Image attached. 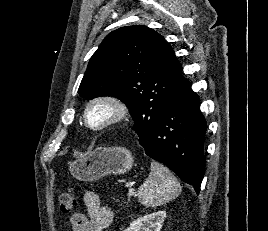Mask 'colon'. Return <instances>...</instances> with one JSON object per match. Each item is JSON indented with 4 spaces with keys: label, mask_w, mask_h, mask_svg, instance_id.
I'll return each instance as SVG.
<instances>
[{
    "label": "colon",
    "mask_w": 268,
    "mask_h": 231,
    "mask_svg": "<svg viewBox=\"0 0 268 231\" xmlns=\"http://www.w3.org/2000/svg\"><path fill=\"white\" fill-rule=\"evenodd\" d=\"M77 200L76 198L67 193H62L59 196V206L62 213H70L76 207Z\"/></svg>",
    "instance_id": "5ec220e1"
}]
</instances>
